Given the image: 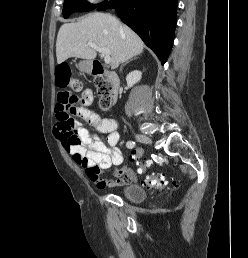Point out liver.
<instances>
[{"instance_id":"liver-1","label":"liver","mask_w":248,"mask_h":258,"mask_svg":"<svg viewBox=\"0 0 248 258\" xmlns=\"http://www.w3.org/2000/svg\"><path fill=\"white\" fill-rule=\"evenodd\" d=\"M94 43L106 48L111 57V68L143 52L144 43L128 26L105 13H91L77 23L63 24L56 41L57 63L71 57L92 61L96 50L87 46Z\"/></svg>"}]
</instances>
